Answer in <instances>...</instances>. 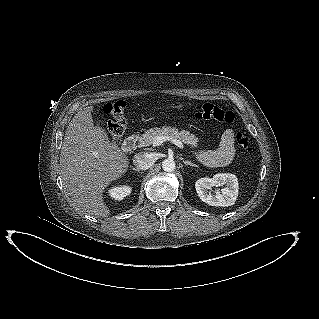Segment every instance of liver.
<instances>
[{"instance_id":"liver-1","label":"liver","mask_w":319,"mask_h":319,"mask_svg":"<svg viewBox=\"0 0 319 319\" xmlns=\"http://www.w3.org/2000/svg\"><path fill=\"white\" fill-rule=\"evenodd\" d=\"M93 106L78 111L69 122L61 147V177L73 206L86 214H110L103 193L110 182L127 171L129 160L109 141L104 129L94 126Z\"/></svg>"}]
</instances>
